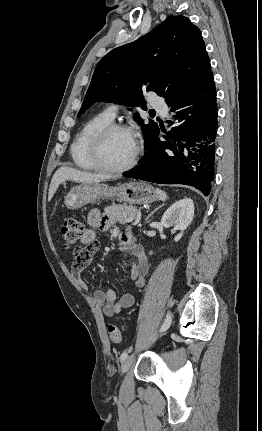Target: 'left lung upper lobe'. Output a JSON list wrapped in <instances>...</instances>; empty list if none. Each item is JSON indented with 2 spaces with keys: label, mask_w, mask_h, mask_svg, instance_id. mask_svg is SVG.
Masks as SVG:
<instances>
[{
  "label": "left lung upper lobe",
  "mask_w": 262,
  "mask_h": 431,
  "mask_svg": "<svg viewBox=\"0 0 262 431\" xmlns=\"http://www.w3.org/2000/svg\"><path fill=\"white\" fill-rule=\"evenodd\" d=\"M210 60L198 27L184 16H169L161 25L135 42L107 53L97 64L83 104L82 115L99 101L142 106L144 91L178 102L212 78ZM142 125L147 145L158 130L150 120Z\"/></svg>",
  "instance_id": "5c2ea615"
}]
</instances>
